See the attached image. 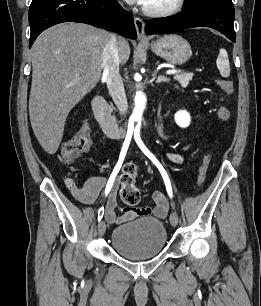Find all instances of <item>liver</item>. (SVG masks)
I'll use <instances>...</instances> for the list:
<instances>
[{
    "label": "liver",
    "instance_id": "liver-1",
    "mask_svg": "<svg viewBox=\"0 0 261 306\" xmlns=\"http://www.w3.org/2000/svg\"><path fill=\"white\" fill-rule=\"evenodd\" d=\"M111 35L83 23H61L41 33L32 47L29 116L33 132L48 154L58 150L66 118L99 82L103 52ZM119 61L130 56L129 43L117 40Z\"/></svg>",
    "mask_w": 261,
    "mask_h": 306
}]
</instances>
